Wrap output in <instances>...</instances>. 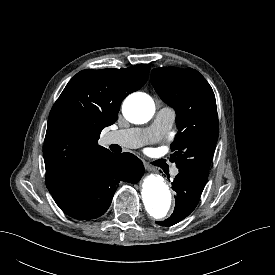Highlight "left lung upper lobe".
Returning a JSON list of instances; mask_svg holds the SVG:
<instances>
[{"mask_svg": "<svg viewBox=\"0 0 275 275\" xmlns=\"http://www.w3.org/2000/svg\"><path fill=\"white\" fill-rule=\"evenodd\" d=\"M150 77L161 99L176 111L179 132L171 144V161L178 169L190 168L208 175L219 130L211 86L192 68H155Z\"/></svg>", "mask_w": 275, "mask_h": 275, "instance_id": "5c2ea615", "label": "left lung upper lobe"}]
</instances>
